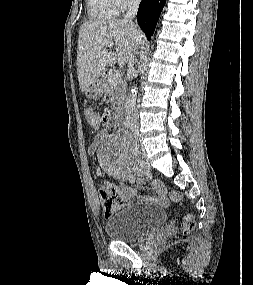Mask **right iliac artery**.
<instances>
[{
	"label": "right iliac artery",
	"mask_w": 253,
	"mask_h": 285,
	"mask_svg": "<svg viewBox=\"0 0 253 285\" xmlns=\"http://www.w3.org/2000/svg\"><path fill=\"white\" fill-rule=\"evenodd\" d=\"M125 179H127L131 184L135 182V176L133 174L128 175Z\"/></svg>",
	"instance_id": "right-iliac-artery-1"
}]
</instances>
